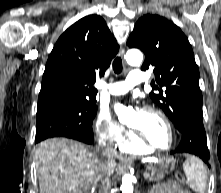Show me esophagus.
<instances>
[{
    "label": "esophagus",
    "mask_w": 221,
    "mask_h": 193,
    "mask_svg": "<svg viewBox=\"0 0 221 193\" xmlns=\"http://www.w3.org/2000/svg\"><path fill=\"white\" fill-rule=\"evenodd\" d=\"M119 55L124 59V56H125V50L124 48H121L120 52H119Z\"/></svg>",
    "instance_id": "esophagus-1"
}]
</instances>
